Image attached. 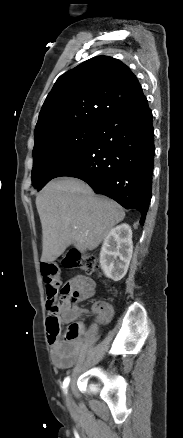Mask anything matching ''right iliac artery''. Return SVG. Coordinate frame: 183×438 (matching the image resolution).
<instances>
[{
	"instance_id": "1",
	"label": "right iliac artery",
	"mask_w": 183,
	"mask_h": 438,
	"mask_svg": "<svg viewBox=\"0 0 183 438\" xmlns=\"http://www.w3.org/2000/svg\"><path fill=\"white\" fill-rule=\"evenodd\" d=\"M70 382V378L66 377L63 381V389L66 390Z\"/></svg>"
}]
</instances>
